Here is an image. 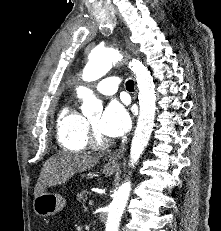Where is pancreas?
Here are the masks:
<instances>
[{"label": "pancreas", "mask_w": 221, "mask_h": 231, "mask_svg": "<svg viewBox=\"0 0 221 231\" xmlns=\"http://www.w3.org/2000/svg\"><path fill=\"white\" fill-rule=\"evenodd\" d=\"M87 194H88V191L86 190L81 191L80 193L77 194L76 200L78 202H85Z\"/></svg>", "instance_id": "obj_1"}]
</instances>
